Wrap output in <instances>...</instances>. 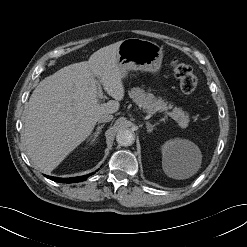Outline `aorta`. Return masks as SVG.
<instances>
[{
  "label": "aorta",
  "mask_w": 247,
  "mask_h": 247,
  "mask_svg": "<svg viewBox=\"0 0 247 247\" xmlns=\"http://www.w3.org/2000/svg\"><path fill=\"white\" fill-rule=\"evenodd\" d=\"M135 136L130 129H122L117 133L116 141L121 146H130L133 144Z\"/></svg>",
  "instance_id": "1"
}]
</instances>
